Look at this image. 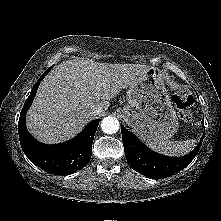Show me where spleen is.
<instances>
[{"label":"spleen","instance_id":"obj_1","mask_svg":"<svg viewBox=\"0 0 221 221\" xmlns=\"http://www.w3.org/2000/svg\"><path fill=\"white\" fill-rule=\"evenodd\" d=\"M196 144V140L186 141H151L148 145L155 151L168 156H183L189 153Z\"/></svg>","mask_w":221,"mask_h":221}]
</instances>
